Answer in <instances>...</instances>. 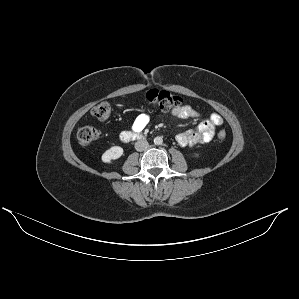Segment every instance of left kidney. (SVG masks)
Listing matches in <instances>:
<instances>
[{
  "instance_id": "obj_1",
  "label": "left kidney",
  "mask_w": 299,
  "mask_h": 299,
  "mask_svg": "<svg viewBox=\"0 0 299 299\" xmlns=\"http://www.w3.org/2000/svg\"><path fill=\"white\" fill-rule=\"evenodd\" d=\"M195 157H198V154H195Z\"/></svg>"
}]
</instances>
